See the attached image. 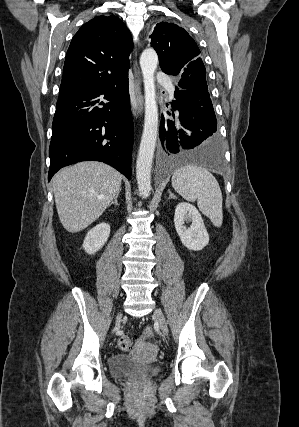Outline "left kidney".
<instances>
[{
  "label": "left kidney",
  "mask_w": 299,
  "mask_h": 427,
  "mask_svg": "<svg viewBox=\"0 0 299 427\" xmlns=\"http://www.w3.org/2000/svg\"><path fill=\"white\" fill-rule=\"evenodd\" d=\"M185 221H192L187 228ZM174 224L182 244L189 250H202L209 243V235L203 219L197 208L187 202H181L176 206Z\"/></svg>",
  "instance_id": "5707ae66"
}]
</instances>
